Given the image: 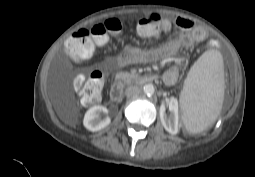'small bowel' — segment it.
Here are the masks:
<instances>
[{
    "label": "small bowel",
    "instance_id": "c3829d8e",
    "mask_svg": "<svg viewBox=\"0 0 255 177\" xmlns=\"http://www.w3.org/2000/svg\"><path fill=\"white\" fill-rule=\"evenodd\" d=\"M182 32L165 43L150 49H142L135 46H126L118 56L116 63L119 67H124L136 63H156L174 56L179 49L189 47L195 42L205 38V31L196 27L194 23L184 17L175 20ZM180 67L172 65L164 74L163 81L167 86L176 84L180 78Z\"/></svg>",
    "mask_w": 255,
    "mask_h": 177
}]
</instances>
